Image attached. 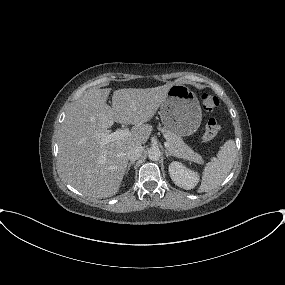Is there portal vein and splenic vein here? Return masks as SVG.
Wrapping results in <instances>:
<instances>
[{
    "label": "portal vein and splenic vein",
    "instance_id": "portal-vein-and-splenic-vein-1",
    "mask_svg": "<svg viewBox=\"0 0 285 285\" xmlns=\"http://www.w3.org/2000/svg\"><path fill=\"white\" fill-rule=\"evenodd\" d=\"M131 135V132L129 129H123V130H116L115 132L107 133V132H102V133H97L96 137L100 138L101 140V145L104 146L109 142L120 140L127 138ZM165 147L169 148L170 144L166 141L164 143Z\"/></svg>",
    "mask_w": 285,
    "mask_h": 285
}]
</instances>
